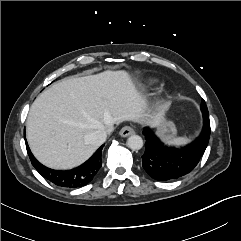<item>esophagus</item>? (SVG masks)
<instances>
[{
    "instance_id": "34e87169",
    "label": "esophagus",
    "mask_w": 241,
    "mask_h": 241,
    "mask_svg": "<svg viewBox=\"0 0 241 241\" xmlns=\"http://www.w3.org/2000/svg\"><path fill=\"white\" fill-rule=\"evenodd\" d=\"M119 133L122 137H128L134 134L135 130L131 126H124Z\"/></svg>"
}]
</instances>
